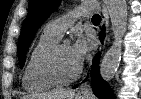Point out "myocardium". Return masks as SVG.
<instances>
[{
  "label": "myocardium",
  "instance_id": "obj_1",
  "mask_svg": "<svg viewBox=\"0 0 141 99\" xmlns=\"http://www.w3.org/2000/svg\"><path fill=\"white\" fill-rule=\"evenodd\" d=\"M63 45L64 43L57 42L50 47L43 55L39 65L40 75L46 80L57 85L69 84L78 79L82 73V67H79L78 70L70 76H63L59 72L56 60L58 52Z\"/></svg>",
  "mask_w": 141,
  "mask_h": 99
}]
</instances>
